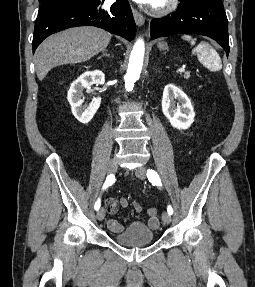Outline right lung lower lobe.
<instances>
[{
  "label": "right lung lower lobe",
  "mask_w": 255,
  "mask_h": 287,
  "mask_svg": "<svg viewBox=\"0 0 255 287\" xmlns=\"http://www.w3.org/2000/svg\"><path fill=\"white\" fill-rule=\"evenodd\" d=\"M104 0H102L103 3ZM76 26H96L131 41L136 25L128 0H116L108 11L97 3L49 7L38 12L33 35V52L49 35Z\"/></svg>",
  "instance_id": "1"
}]
</instances>
